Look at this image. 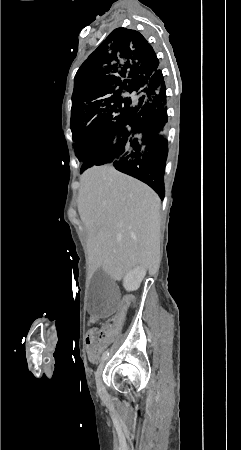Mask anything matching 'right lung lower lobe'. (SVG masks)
Segmentation results:
<instances>
[{"instance_id":"98d812e1","label":"right lung lower lobe","mask_w":241,"mask_h":450,"mask_svg":"<svg viewBox=\"0 0 241 450\" xmlns=\"http://www.w3.org/2000/svg\"><path fill=\"white\" fill-rule=\"evenodd\" d=\"M144 86L143 113L111 131L94 148H90L92 137H89V130L81 128L74 136L76 155L81 153L82 157L88 156L89 162L97 164L107 157L108 149L117 141L141 134L144 140L129 153L115 160L112 165L117 170L148 184L163 199L168 143L163 133L167 123V100L162 71L158 69L150 76H145Z\"/></svg>"}]
</instances>
